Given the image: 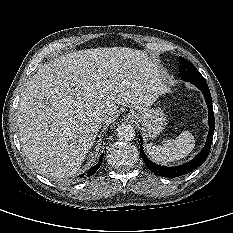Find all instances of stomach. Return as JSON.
I'll use <instances>...</instances> for the list:
<instances>
[{"label": "stomach", "instance_id": "1", "mask_svg": "<svg viewBox=\"0 0 233 233\" xmlns=\"http://www.w3.org/2000/svg\"><path fill=\"white\" fill-rule=\"evenodd\" d=\"M137 121L149 139H155L166 127L167 118L160 108L147 109L137 113Z\"/></svg>", "mask_w": 233, "mask_h": 233}]
</instances>
